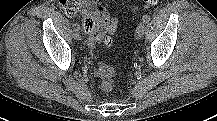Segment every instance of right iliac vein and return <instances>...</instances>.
<instances>
[{
  "label": "right iliac vein",
  "instance_id": "63e3f726",
  "mask_svg": "<svg viewBox=\"0 0 217 121\" xmlns=\"http://www.w3.org/2000/svg\"><path fill=\"white\" fill-rule=\"evenodd\" d=\"M73 37H74V39H76L78 41L81 40V35L77 31L73 34Z\"/></svg>",
  "mask_w": 217,
  "mask_h": 121
}]
</instances>
